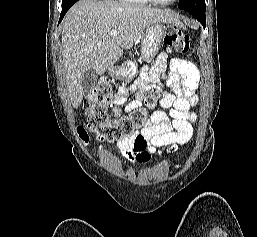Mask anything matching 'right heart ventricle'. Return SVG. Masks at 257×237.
Wrapping results in <instances>:
<instances>
[{
    "label": "right heart ventricle",
    "instance_id": "right-heart-ventricle-1",
    "mask_svg": "<svg viewBox=\"0 0 257 237\" xmlns=\"http://www.w3.org/2000/svg\"><path fill=\"white\" fill-rule=\"evenodd\" d=\"M124 2H131V3H139V4H145L147 3L149 0H121Z\"/></svg>",
    "mask_w": 257,
    "mask_h": 237
}]
</instances>
